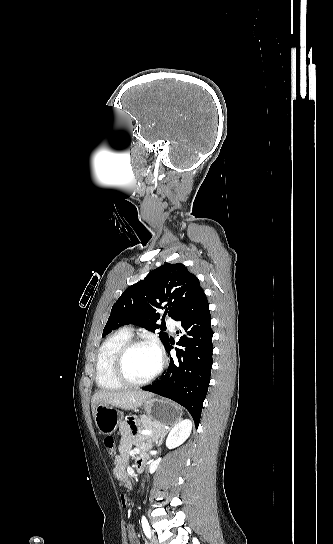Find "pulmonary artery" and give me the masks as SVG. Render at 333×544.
Here are the masks:
<instances>
[{"label": "pulmonary artery", "mask_w": 333, "mask_h": 544, "mask_svg": "<svg viewBox=\"0 0 333 544\" xmlns=\"http://www.w3.org/2000/svg\"><path fill=\"white\" fill-rule=\"evenodd\" d=\"M166 322H167L168 326L170 327V329L174 330L176 322L171 318H168ZM127 330H129L131 332L130 329H127Z\"/></svg>", "instance_id": "obj_1"}]
</instances>
